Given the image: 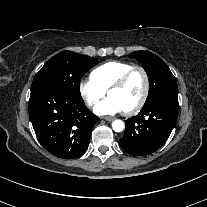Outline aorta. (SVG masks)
I'll list each match as a JSON object with an SVG mask.
<instances>
[{
	"label": "aorta",
	"instance_id": "1",
	"mask_svg": "<svg viewBox=\"0 0 207 207\" xmlns=\"http://www.w3.org/2000/svg\"><path fill=\"white\" fill-rule=\"evenodd\" d=\"M112 128L115 132H122L125 128L124 122L122 120H114L112 122Z\"/></svg>",
	"mask_w": 207,
	"mask_h": 207
}]
</instances>
